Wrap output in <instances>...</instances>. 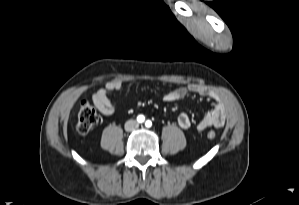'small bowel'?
Masks as SVG:
<instances>
[{"label": "small bowel", "instance_id": "1", "mask_svg": "<svg viewBox=\"0 0 299 205\" xmlns=\"http://www.w3.org/2000/svg\"><path fill=\"white\" fill-rule=\"evenodd\" d=\"M121 87L122 81L113 79L108 81L104 87L99 88L93 93V103L100 113L105 116H110L114 113V107L109 99V93L118 91ZM189 92L206 97L212 101L211 110L196 122V128L199 131H203L209 127L220 128L225 124L226 113L222 101L216 93L202 84L192 83L188 86L175 88L164 95V100L166 102L178 101L185 98ZM177 122L182 129H189L193 125V120L187 113L180 114Z\"/></svg>", "mask_w": 299, "mask_h": 205}]
</instances>
